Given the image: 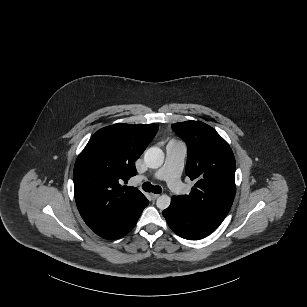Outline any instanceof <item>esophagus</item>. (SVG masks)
Here are the masks:
<instances>
[{
  "label": "esophagus",
  "mask_w": 307,
  "mask_h": 307,
  "mask_svg": "<svg viewBox=\"0 0 307 307\" xmlns=\"http://www.w3.org/2000/svg\"><path fill=\"white\" fill-rule=\"evenodd\" d=\"M150 196H151L153 201H155L159 197L158 194H154V193H150Z\"/></svg>",
  "instance_id": "1"
}]
</instances>
